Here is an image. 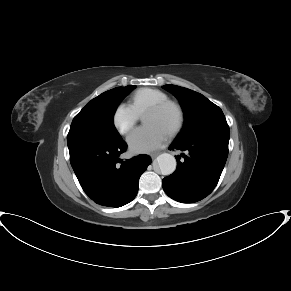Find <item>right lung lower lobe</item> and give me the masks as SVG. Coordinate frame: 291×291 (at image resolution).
<instances>
[{"instance_id":"1","label":"right lung lower lobe","mask_w":291,"mask_h":291,"mask_svg":"<svg viewBox=\"0 0 291 291\" xmlns=\"http://www.w3.org/2000/svg\"><path fill=\"white\" fill-rule=\"evenodd\" d=\"M68 148L72 168L84 192L104 206L121 207L132 201L138 192L139 178L151 163L147 155L122 163L119 156L127 148L123 139L111 144L71 140Z\"/></svg>"}]
</instances>
